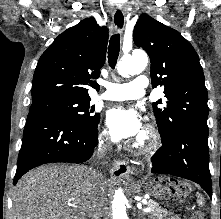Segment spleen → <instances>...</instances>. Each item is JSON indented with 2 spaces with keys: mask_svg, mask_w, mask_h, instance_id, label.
<instances>
[{
  "mask_svg": "<svg viewBox=\"0 0 221 219\" xmlns=\"http://www.w3.org/2000/svg\"><path fill=\"white\" fill-rule=\"evenodd\" d=\"M198 203H199L200 205L203 204V198L200 196V194H198Z\"/></svg>",
  "mask_w": 221,
  "mask_h": 219,
  "instance_id": "3e777b00",
  "label": "spleen"
}]
</instances>
